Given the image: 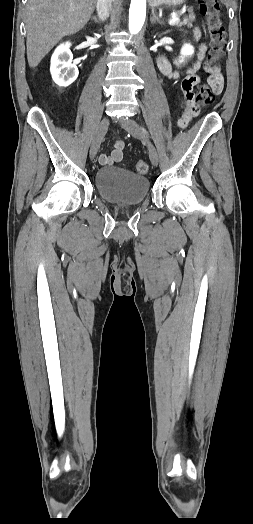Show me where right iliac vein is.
Returning <instances> with one entry per match:
<instances>
[{"label":"right iliac vein","mask_w":253,"mask_h":524,"mask_svg":"<svg viewBox=\"0 0 253 524\" xmlns=\"http://www.w3.org/2000/svg\"><path fill=\"white\" fill-rule=\"evenodd\" d=\"M109 119L107 117L103 118L97 128L95 137L93 139L91 148H90V157L94 158L99 150L100 144L108 130L109 127Z\"/></svg>","instance_id":"right-iliac-vein-1"}]
</instances>
